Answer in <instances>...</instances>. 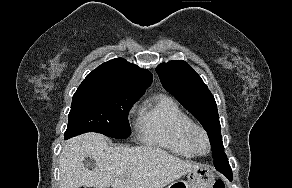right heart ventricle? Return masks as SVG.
Listing matches in <instances>:
<instances>
[{"label":"right heart ventricle","mask_w":292,"mask_h":188,"mask_svg":"<svg viewBox=\"0 0 292 188\" xmlns=\"http://www.w3.org/2000/svg\"><path fill=\"white\" fill-rule=\"evenodd\" d=\"M194 122L171 97L160 95L145 104L136 122L139 139L185 158L195 156L185 139Z\"/></svg>","instance_id":"obj_1"}]
</instances>
